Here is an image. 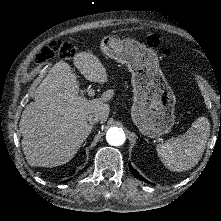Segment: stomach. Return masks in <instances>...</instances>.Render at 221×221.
I'll use <instances>...</instances> for the list:
<instances>
[{"instance_id":"1","label":"stomach","mask_w":221,"mask_h":221,"mask_svg":"<svg viewBox=\"0 0 221 221\" xmlns=\"http://www.w3.org/2000/svg\"><path fill=\"white\" fill-rule=\"evenodd\" d=\"M103 53L126 64L132 74L131 117L139 131L150 138L170 132L175 123V95L162 74L158 57L137 41L105 36Z\"/></svg>"}]
</instances>
